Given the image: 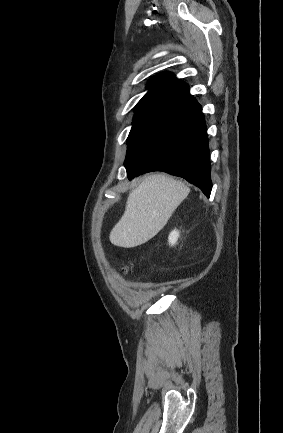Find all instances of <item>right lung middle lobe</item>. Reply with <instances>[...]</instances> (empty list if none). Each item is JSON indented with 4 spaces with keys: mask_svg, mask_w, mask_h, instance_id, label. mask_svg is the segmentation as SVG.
Returning a JSON list of instances; mask_svg holds the SVG:
<instances>
[{
    "mask_svg": "<svg viewBox=\"0 0 283 433\" xmlns=\"http://www.w3.org/2000/svg\"><path fill=\"white\" fill-rule=\"evenodd\" d=\"M160 115L161 114L155 112L136 111L133 126L127 139V144L129 145L149 122Z\"/></svg>",
    "mask_w": 283,
    "mask_h": 433,
    "instance_id": "obj_1",
    "label": "right lung middle lobe"
}]
</instances>
